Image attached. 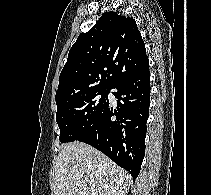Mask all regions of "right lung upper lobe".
Returning a JSON list of instances; mask_svg holds the SVG:
<instances>
[{"instance_id":"cb5924a9","label":"right lung upper lobe","mask_w":211,"mask_h":195,"mask_svg":"<svg viewBox=\"0 0 211 195\" xmlns=\"http://www.w3.org/2000/svg\"><path fill=\"white\" fill-rule=\"evenodd\" d=\"M148 66L135 20L106 12L70 49L60 74L56 104L88 91L112 88L122 77Z\"/></svg>"}]
</instances>
